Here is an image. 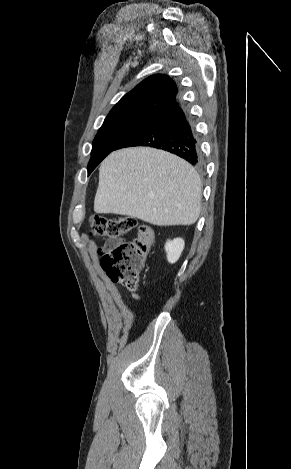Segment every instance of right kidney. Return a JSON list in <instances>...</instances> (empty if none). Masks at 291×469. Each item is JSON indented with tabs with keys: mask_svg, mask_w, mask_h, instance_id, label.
<instances>
[{
	"mask_svg": "<svg viewBox=\"0 0 291 469\" xmlns=\"http://www.w3.org/2000/svg\"><path fill=\"white\" fill-rule=\"evenodd\" d=\"M185 242L181 238H176L173 240H168L165 244V251L167 253V260L169 263L173 264L179 259Z\"/></svg>",
	"mask_w": 291,
	"mask_h": 469,
	"instance_id": "1",
	"label": "right kidney"
}]
</instances>
